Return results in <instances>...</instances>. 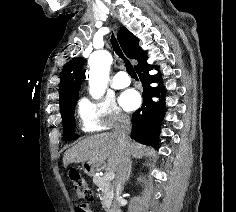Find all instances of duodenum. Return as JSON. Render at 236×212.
Instances as JSON below:
<instances>
[{"label": "duodenum", "instance_id": "duodenum-1", "mask_svg": "<svg viewBox=\"0 0 236 212\" xmlns=\"http://www.w3.org/2000/svg\"><path fill=\"white\" fill-rule=\"evenodd\" d=\"M108 212H121V210L118 207H111Z\"/></svg>", "mask_w": 236, "mask_h": 212}]
</instances>
